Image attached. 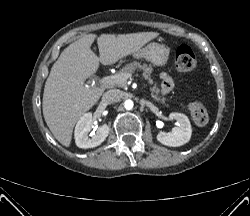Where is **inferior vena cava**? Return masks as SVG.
I'll use <instances>...</instances> for the list:
<instances>
[{
  "label": "inferior vena cava",
  "mask_w": 250,
  "mask_h": 216,
  "mask_svg": "<svg viewBox=\"0 0 250 216\" xmlns=\"http://www.w3.org/2000/svg\"><path fill=\"white\" fill-rule=\"evenodd\" d=\"M122 96V91L118 89H112L104 93L103 100L109 104H112L120 101Z\"/></svg>",
  "instance_id": "1"
}]
</instances>
